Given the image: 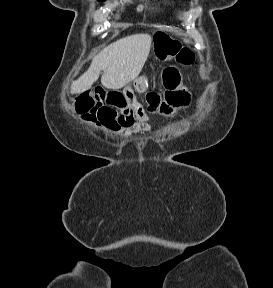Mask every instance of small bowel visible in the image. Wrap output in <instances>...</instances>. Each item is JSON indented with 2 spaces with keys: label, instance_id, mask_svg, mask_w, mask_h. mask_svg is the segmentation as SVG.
Returning a JSON list of instances; mask_svg holds the SVG:
<instances>
[{
  "label": "small bowel",
  "instance_id": "small-bowel-1",
  "mask_svg": "<svg viewBox=\"0 0 273 288\" xmlns=\"http://www.w3.org/2000/svg\"><path fill=\"white\" fill-rule=\"evenodd\" d=\"M137 119L136 122L124 130L125 136H130L137 132H147L151 130V125L149 122L148 115L141 109L137 108Z\"/></svg>",
  "mask_w": 273,
  "mask_h": 288
}]
</instances>
